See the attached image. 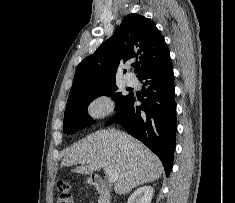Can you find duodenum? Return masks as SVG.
Segmentation results:
<instances>
[{
    "label": "duodenum",
    "mask_w": 235,
    "mask_h": 203,
    "mask_svg": "<svg viewBox=\"0 0 235 203\" xmlns=\"http://www.w3.org/2000/svg\"><path fill=\"white\" fill-rule=\"evenodd\" d=\"M91 182L96 190L102 194L106 200H108L110 197V192L106 182L99 176H93Z\"/></svg>",
    "instance_id": "1"
}]
</instances>
